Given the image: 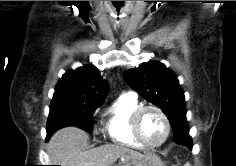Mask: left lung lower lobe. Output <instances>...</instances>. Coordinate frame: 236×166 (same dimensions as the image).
I'll return each mask as SVG.
<instances>
[{
	"mask_svg": "<svg viewBox=\"0 0 236 166\" xmlns=\"http://www.w3.org/2000/svg\"><path fill=\"white\" fill-rule=\"evenodd\" d=\"M174 132V141L178 144H182L192 148V140L189 136L188 125L182 121H175L171 123Z\"/></svg>",
	"mask_w": 236,
	"mask_h": 166,
	"instance_id": "1",
	"label": "left lung lower lobe"
}]
</instances>
